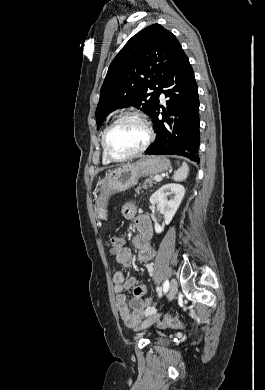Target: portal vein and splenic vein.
I'll return each mask as SVG.
<instances>
[{"mask_svg":"<svg viewBox=\"0 0 265 390\" xmlns=\"http://www.w3.org/2000/svg\"><path fill=\"white\" fill-rule=\"evenodd\" d=\"M154 180L159 182V181L162 180V178H161L160 176H155V177H154Z\"/></svg>","mask_w":265,"mask_h":390,"instance_id":"obj_1","label":"portal vein and splenic vein"}]
</instances>
